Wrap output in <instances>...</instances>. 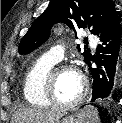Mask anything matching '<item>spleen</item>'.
<instances>
[{
    "label": "spleen",
    "mask_w": 122,
    "mask_h": 123,
    "mask_svg": "<svg viewBox=\"0 0 122 123\" xmlns=\"http://www.w3.org/2000/svg\"><path fill=\"white\" fill-rule=\"evenodd\" d=\"M83 114L87 118V123H100L98 111L93 106H85L83 109Z\"/></svg>",
    "instance_id": "3e777b00"
}]
</instances>
